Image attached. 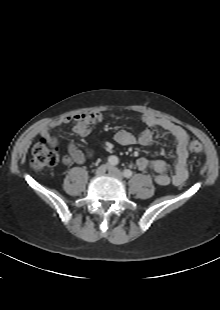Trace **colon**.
I'll return each instance as SVG.
<instances>
[{
  "label": "colon",
  "instance_id": "colon-1",
  "mask_svg": "<svg viewBox=\"0 0 220 310\" xmlns=\"http://www.w3.org/2000/svg\"><path fill=\"white\" fill-rule=\"evenodd\" d=\"M188 149L192 154H199L203 151L202 144L197 140L190 141ZM58 162V152L49 146L45 140L37 142L31 152L30 166L34 170H43L53 167Z\"/></svg>",
  "mask_w": 220,
  "mask_h": 310
}]
</instances>
